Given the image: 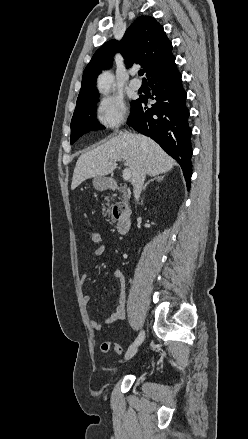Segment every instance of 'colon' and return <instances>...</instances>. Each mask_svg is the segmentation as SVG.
Masks as SVG:
<instances>
[{"instance_id": "colon-1", "label": "colon", "mask_w": 248, "mask_h": 439, "mask_svg": "<svg viewBox=\"0 0 248 439\" xmlns=\"http://www.w3.org/2000/svg\"><path fill=\"white\" fill-rule=\"evenodd\" d=\"M89 239L94 245H102V234L98 230L91 231L89 233ZM110 350H114L118 354H121L123 351L122 347L117 343L106 341L101 344V351L103 353H107Z\"/></svg>"}]
</instances>
